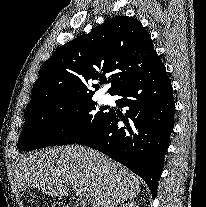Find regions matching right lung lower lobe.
Returning <instances> with one entry per match:
<instances>
[{
    "label": "right lung lower lobe",
    "mask_w": 206,
    "mask_h": 207,
    "mask_svg": "<svg viewBox=\"0 0 206 207\" xmlns=\"http://www.w3.org/2000/svg\"><path fill=\"white\" fill-rule=\"evenodd\" d=\"M119 107L90 134L76 143L103 152L140 176L156 197L164 157L174 126L173 89L165 66L157 55L137 77L118 88ZM122 120L124 127L117 123Z\"/></svg>",
    "instance_id": "right-lung-lower-lobe-1"
}]
</instances>
